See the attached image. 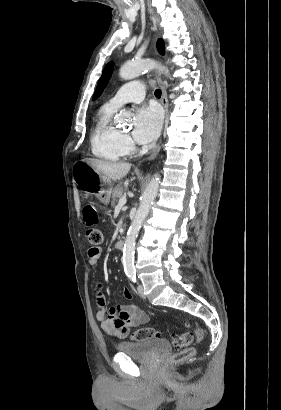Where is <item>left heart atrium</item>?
Returning a JSON list of instances; mask_svg holds the SVG:
<instances>
[{
	"label": "left heart atrium",
	"instance_id": "39dd6f15",
	"mask_svg": "<svg viewBox=\"0 0 281 410\" xmlns=\"http://www.w3.org/2000/svg\"><path fill=\"white\" fill-rule=\"evenodd\" d=\"M162 114L155 106H143L139 108L134 117L133 137L140 144H148L154 141L160 132Z\"/></svg>",
	"mask_w": 281,
	"mask_h": 410
}]
</instances>
